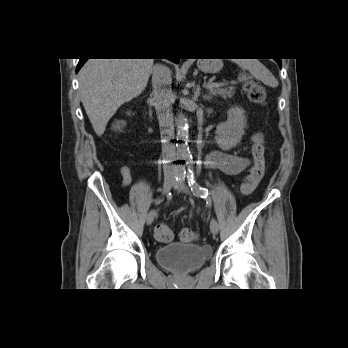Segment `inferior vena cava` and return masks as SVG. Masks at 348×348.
<instances>
[{
  "mask_svg": "<svg viewBox=\"0 0 348 348\" xmlns=\"http://www.w3.org/2000/svg\"><path fill=\"white\" fill-rule=\"evenodd\" d=\"M153 104L160 127L163 159L172 162L176 156L174 139V119L172 104L175 95L172 91V76L169 68L163 65L152 67Z\"/></svg>",
  "mask_w": 348,
  "mask_h": 348,
  "instance_id": "inferior-vena-cava-1",
  "label": "inferior vena cava"
}]
</instances>
